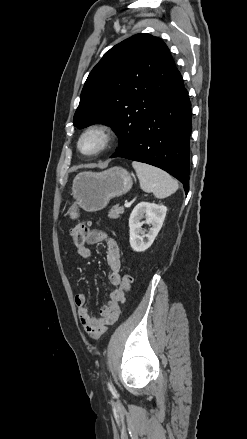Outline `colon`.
<instances>
[{
  "label": "colon",
  "mask_w": 247,
  "mask_h": 439,
  "mask_svg": "<svg viewBox=\"0 0 247 439\" xmlns=\"http://www.w3.org/2000/svg\"><path fill=\"white\" fill-rule=\"evenodd\" d=\"M89 225V221H83L71 229L70 234L77 249L84 246L86 233L90 230ZM132 282V275L130 273L125 274L120 284L121 290L128 292L131 288Z\"/></svg>",
  "instance_id": "colon-1"
}]
</instances>
